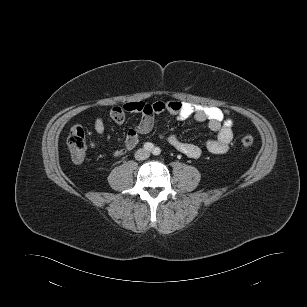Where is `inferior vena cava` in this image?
I'll list each match as a JSON object with an SVG mask.
<instances>
[{
	"mask_svg": "<svg viewBox=\"0 0 307 307\" xmlns=\"http://www.w3.org/2000/svg\"><path fill=\"white\" fill-rule=\"evenodd\" d=\"M150 153L145 150V149H139L137 150V152L135 153V159L140 161V160H145L149 157Z\"/></svg>",
	"mask_w": 307,
	"mask_h": 307,
	"instance_id": "obj_1",
	"label": "inferior vena cava"
}]
</instances>
